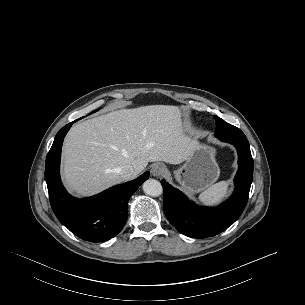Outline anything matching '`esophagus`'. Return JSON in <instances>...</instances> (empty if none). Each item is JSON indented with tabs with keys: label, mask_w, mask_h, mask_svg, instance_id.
I'll use <instances>...</instances> for the list:
<instances>
[{
	"label": "esophagus",
	"mask_w": 305,
	"mask_h": 305,
	"mask_svg": "<svg viewBox=\"0 0 305 305\" xmlns=\"http://www.w3.org/2000/svg\"><path fill=\"white\" fill-rule=\"evenodd\" d=\"M164 172H165V167L162 164H155L151 168V174L154 177H160L161 175L164 174Z\"/></svg>",
	"instance_id": "obj_1"
}]
</instances>
